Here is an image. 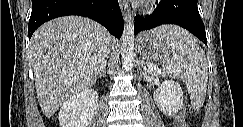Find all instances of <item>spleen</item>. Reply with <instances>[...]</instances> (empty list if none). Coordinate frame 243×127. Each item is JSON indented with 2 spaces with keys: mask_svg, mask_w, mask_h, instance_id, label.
<instances>
[{
  "mask_svg": "<svg viewBox=\"0 0 243 127\" xmlns=\"http://www.w3.org/2000/svg\"><path fill=\"white\" fill-rule=\"evenodd\" d=\"M170 43L172 57L165 56L164 69L187 86L192 106L202 107L207 91L208 63L197 40L177 26H163L160 31Z\"/></svg>",
  "mask_w": 243,
  "mask_h": 127,
  "instance_id": "3e777b00",
  "label": "spleen"
}]
</instances>
